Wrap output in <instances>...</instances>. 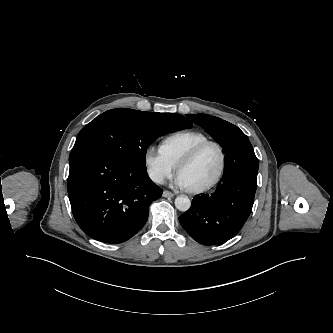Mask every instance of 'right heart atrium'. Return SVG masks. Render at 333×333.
<instances>
[{"instance_id":"1","label":"right heart atrium","mask_w":333,"mask_h":333,"mask_svg":"<svg viewBox=\"0 0 333 333\" xmlns=\"http://www.w3.org/2000/svg\"><path fill=\"white\" fill-rule=\"evenodd\" d=\"M144 163L149 177L157 184H163L170 179L176 170V166L163 154V152L149 146L144 153Z\"/></svg>"}]
</instances>
